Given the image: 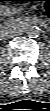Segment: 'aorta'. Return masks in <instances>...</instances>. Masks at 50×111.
Returning a JSON list of instances; mask_svg holds the SVG:
<instances>
[{
    "mask_svg": "<svg viewBox=\"0 0 50 111\" xmlns=\"http://www.w3.org/2000/svg\"><path fill=\"white\" fill-rule=\"evenodd\" d=\"M26 34L28 35V37L30 38H36L39 36L40 34V29L36 26H31L26 30Z\"/></svg>",
    "mask_w": 50,
    "mask_h": 111,
    "instance_id": "aorta-1",
    "label": "aorta"
}]
</instances>
